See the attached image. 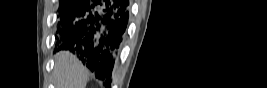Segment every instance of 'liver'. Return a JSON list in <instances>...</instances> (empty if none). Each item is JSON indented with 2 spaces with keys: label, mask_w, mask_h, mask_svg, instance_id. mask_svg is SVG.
<instances>
[{
  "label": "liver",
  "mask_w": 267,
  "mask_h": 88,
  "mask_svg": "<svg viewBox=\"0 0 267 88\" xmlns=\"http://www.w3.org/2000/svg\"><path fill=\"white\" fill-rule=\"evenodd\" d=\"M54 59L53 82L56 88H86L87 69L75 55L60 51Z\"/></svg>",
  "instance_id": "1"
}]
</instances>
